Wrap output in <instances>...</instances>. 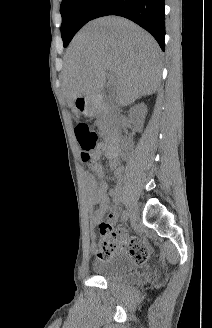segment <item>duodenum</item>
Returning a JSON list of instances; mask_svg holds the SVG:
<instances>
[{
  "instance_id": "1",
  "label": "duodenum",
  "mask_w": 212,
  "mask_h": 328,
  "mask_svg": "<svg viewBox=\"0 0 212 328\" xmlns=\"http://www.w3.org/2000/svg\"><path fill=\"white\" fill-rule=\"evenodd\" d=\"M79 104L82 105L83 110L91 114L106 111V109H104L96 99L82 98L79 101ZM119 151L120 137L118 134H112L107 138L104 144V153L109 159H111L112 162H117L119 157Z\"/></svg>"
}]
</instances>
